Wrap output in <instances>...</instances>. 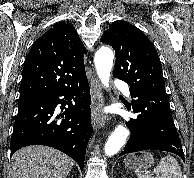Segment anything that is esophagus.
<instances>
[{"instance_id": "esophagus-1", "label": "esophagus", "mask_w": 194, "mask_h": 178, "mask_svg": "<svg viewBox=\"0 0 194 178\" xmlns=\"http://www.w3.org/2000/svg\"><path fill=\"white\" fill-rule=\"evenodd\" d=\"M92 95H91V122L94 129L105 126L106 117L101 112L104 107V96L99 80L92 77Z\"/></svg>"}]
</instances>
